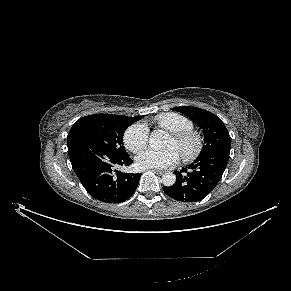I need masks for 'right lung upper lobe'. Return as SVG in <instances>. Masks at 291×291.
Wrapping results in <instances>:
<instances>
[{"instance_id":"1","label":"right lung upper lobe","mask_w":291,"mask_h":291,"mask_svg":"<svg viewBox=\"0 0 291 291\" xmlns=\"http://www.w3.org/2000/svg\"><path fill=\"white\" fill-rule=\"evenodd\" d=\"M141 116H135V117H133V118H135V119H138V118H140Z\"/></svg>"}]
</instances>
